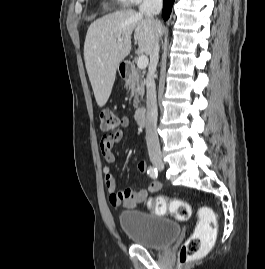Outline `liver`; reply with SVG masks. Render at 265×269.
Returning <instances> with one entry per match:
<instances>
[{
    "label": "liver",
    "instance_id": "obj_1",
    "mask_svg": "<svg viewBox=\"0 0 265 269\" xmlns=\"http://www.w3.org/2000/svg\"><path fill=\"white\" fill-rule=\"evenodd\" d=\"M140 54L150 55L162 24L135 10H120L95 20L88 28L84 60L94 96L99 107L109 99L119 63L131 51V35ZM123 40L118 42V38Z\"/></svg>",
    "mask_w": 265,
    "mask_h": 269
}]
</instances>
